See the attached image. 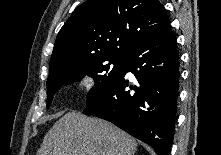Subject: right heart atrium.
<instances>
[{
    "label": "right heart atrium",
    "instance_id": "right-heart-atrium-1",
    "mask_svg": "<svg viewBox=\"0 0 221 155\" xmlns=\"http://www.w3.org/2000/svg\"><path fill=\"white\" fill-rule=\"evenodd\" d=\"M79 84H80L81 88L89 90L93 87L94 81H93L92 77L85 75L80 79Z\"/></svg>",
    "mask_w": 221,
    "mask_h": 155
}]
</instances>
